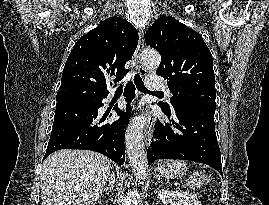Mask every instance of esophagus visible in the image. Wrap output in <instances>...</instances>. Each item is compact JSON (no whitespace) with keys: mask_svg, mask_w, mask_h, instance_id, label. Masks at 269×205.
<instances>
[{"mask_svg":"<svg viewBox=\"0 0 269 205\" xmlns=\"http://www.w3.org/2000/svg\"><path fill=\"white\" fill-rule=\"evenodd\" d=\"M144 47V31L142 29L139 30V41H138V46L135 50L134 53V59L137 64V70L139 74L142 77H145L147 75L146 69L143 67L141 63V52ZM154 123H155V118L152 117L151 115L148 116L147 123L144 127V139H145V144L148 146L151 143V136L153 133L154 129Z\"/></svg>","mask_w":269,"mask_h":205,"instance_id":"34e87169","label":"esophagus"}]
</instances>
